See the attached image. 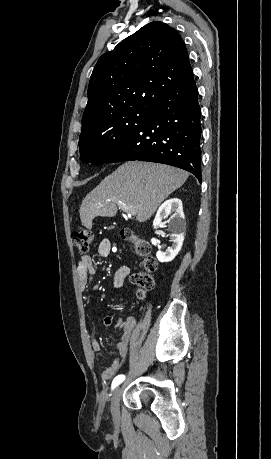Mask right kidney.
Masks as SVG:
<instances>
[{"label": "right kidney", "instance_id": "ca27d5eb", "mask_svg": "<svg viewBox=\"0 0 271 459\" xmlns=\"http://www.w3.org/2000/svg\"><path fill=\"white\" fill-rule=\"evenodd\" d=\"M167 216H171L168 222V228L172 231L169 239V241H172V247H167L166 251H161V249L157 251L156 255L159 261H171L182 247L186 220L183 214L182 202L179 198L166 200V202L160 206L153 222L154 228H158V226L162 224L161 220L167 218ZM151 241L153 245H158V243H160L159 239H156V237H152Z\"/></svg>", "mask_w": 271, "mask_h": 459}]
</instances>
